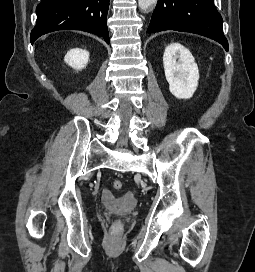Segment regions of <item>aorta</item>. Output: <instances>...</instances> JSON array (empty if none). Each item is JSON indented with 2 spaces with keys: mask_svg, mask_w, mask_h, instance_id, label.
Returning a JSON list of instances; mask_svg holds the SVG:
<instances>
[{
  "mask_svg": "<svg viewBox=\"0 0 255 272\" xmlns=\"http://www.w3.org/2000/svg\"><path fill=\"white\" fill-rule=\"evenodd\" d=\"M157 0H138L139 8L142 11H147L156 4Z\"/></svg>",
  "mask_w": 255,
  "mask_h": 272,
  "instance_id": "762f6f07",
  "label": "aorta"
}]
</instances>
